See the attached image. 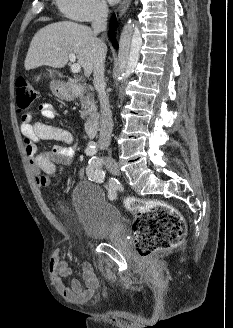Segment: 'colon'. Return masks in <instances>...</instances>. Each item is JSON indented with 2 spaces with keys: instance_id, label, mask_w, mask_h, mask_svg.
<instances>
[{
  "instance_id": "1",
  "label": "colon",
  "mask_w": 233,
  "mask_h": 328,
  "mask_svg": "<svg viewBox=\"0 0 233 328\" xmlns=\"http://www.w3.org/2000/svg\"><path fill=\"white\" fill-rule=\"evenodd\" d=\"M16 101L20 110H27L36 100L34 86L25 78L16 80ZM126 207L135 214L133 241L138 255L146 258L153 253L177 246L186 234L181 213L173 206L157 200L128 199Z\"/></svg>"
}]
</instances>
